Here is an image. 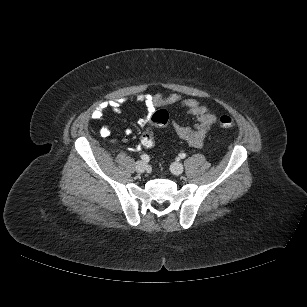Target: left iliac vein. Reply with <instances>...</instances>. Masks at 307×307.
<instances>
[{
  "mask_svg": "<svg viewBox=\"0 0 307 307\" xmlns=\"http://www.w3.org/2000/svg\"><path fill=\"white\" fill-rule=\"evenodd\" d=\"M170 170L174 175H181L184 171V168L181 163L175 162L171 165Z\"/></svg>",
  "mask_w": 307,
  "mask_h": 307,
  "instance_id": "1",
  "label": "left iliac vein"
}]
</instances>
